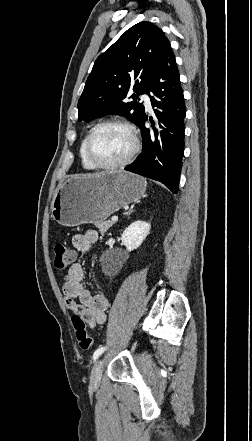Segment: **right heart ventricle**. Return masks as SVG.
<instances>
[{
    "instance_id": "obj_1",
    "label": "right heart ventricle",
    "mask_w": 252,
    "mask_h": 441,
    "mask_svg": "<svg viewBox=\"0 0 252 441\" xmlns=\"http://www.w3.org/2000/svg\"><path fill=\"white\" fill-rule=\"evenodd\" d=\"M86 137H87V136L84 137V139L82 140V142H81V144H80V147H79V157H80L81 165H82V167H83L84 169H86V170H94L95 167L92 166V165L89 163V161L87 160V158H86V156H85V153H84V145H85Z\"/></svg>"
}]
</instances>
